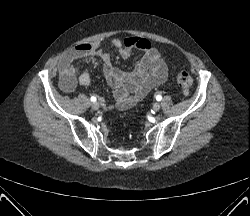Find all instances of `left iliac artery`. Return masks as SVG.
<instances>
[{
  "instance_id": "1",
  "label": "left iliac artery",
  "mask_w": 250,
  "mask_h": 216,
  "mask_svg": "<svg viewBox=\"0 0 250 216\" xmlns=\"http://www.w3.org/2000/svg\"><path fill=\"white\" fill-rule=\"evenodd\" d=\"M161 99H162V96H161V95H157V96H156V100H157V101H160Z\"/></svg>"
}]
</instances>
